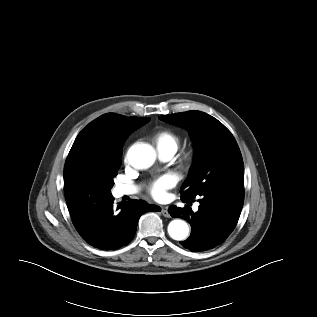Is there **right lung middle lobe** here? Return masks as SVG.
Returning a JSON list of instances; mask_svg holds the SVG:
<instances>
[{
	"label": "right lung middle lobe",
	"mask_w": 317,
	"mask_h": 317,
	"mask_svg": "<svg viewBox=\"0 0 317 317\" xmlns=\"http://www.w3.org/2000/svg\"><path fill=\"white\" fill-rule=\"evenodd\" d=\"M150 118H142L138 127ZM121 153L102 146L85 145L70 152L64 167L65 197L101 201L111 195L114 178L121 166Z\"/></svg>",
	"instance_id": "dd1d6c3e"
}]
</instances>
